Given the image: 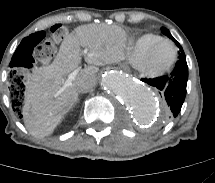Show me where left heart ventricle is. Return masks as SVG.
Here are the masks:
<instances>
[{
    "label": "left heart ventricle",
    "instance_id": "1",
    "mask_svg": "<svg viewBox=\"0 0 215 183\" xmlns=\"http://www.w3.org/2000/svg\"><path fill=\"white\" fill-rule=\"evenodd\" d=\"M172 55L171 46L167 43L160 44L150 56L152 66H160L168 62Z\"/></svg>",
    "mask_w": 215,
    "mask_h": 183
}]
</instances>
